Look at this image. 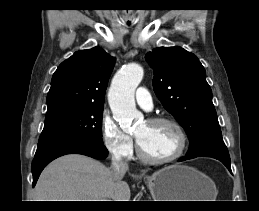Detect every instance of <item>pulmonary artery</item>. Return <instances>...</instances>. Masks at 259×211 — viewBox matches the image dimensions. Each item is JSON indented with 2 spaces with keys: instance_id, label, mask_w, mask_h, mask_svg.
<instances>
[{
  "instance_id": "obj_1",
  "label": "pulmonary artery",
  "mask_w": 259,
  "mask_h": 211,
  "mask_svg": "<svg viewBox=\"0 0 259 211\" xmlns=\"http://www.w3.org/2000/svg\"><path fill=\"white\" fill-rule=\"evenodd\" d=\"M136 101L144 109H151L152 97L149 91L144 87H139L136 91Z\"/></svg>"
}]
</instances>
